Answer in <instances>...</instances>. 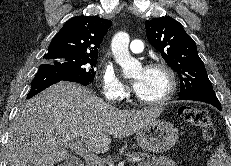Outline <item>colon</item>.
<instances>
[{"mask_svg": "<svg viewBox=\"0 0 231 166\" xmlns=\"http://www.w3.org/2000/svg\"><path fill=\"white\" fill-rule=\"evenodd\" d=\"M178 114L184 122L200 128L206 140H211L214 137L215 125L208 110L197 106L183 105L179 108Z\"/></svg>", "mask_w": 231, "mask_h": 166, "instance_id": "obj_1", "label": "colon"}]
</instances>
